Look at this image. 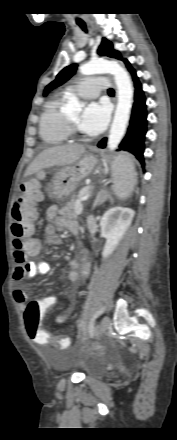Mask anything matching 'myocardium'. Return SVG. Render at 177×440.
Returning a JSON list of instances; mask_svg holds the SVG:
<instances>
[{
    "label": "myocardium",
    "instance_id": "myocardium-1",
    "mask_svg": "<svg viewBox=\"0 0 177 440\" xmlns=\"http://www.w3.org/2000/svg\"><path fill=\"white\" fill-rule=\"evenodd\" d=\"M65 122L69 133L72 135H77L78 130L75 123H73L66 115H65Z\"/></svg>",
    "mask_w": 177,
    "mask_h": 440
}]
</instances>
